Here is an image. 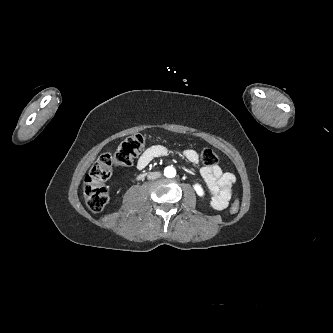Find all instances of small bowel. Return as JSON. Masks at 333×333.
Instances as JSON below:
<instances>
[{"label": "small bowel", "instance_id": "obj_1", "mask_svg": "<svg viewBox=\"0 0 333 333\" xmlns=\"http://www.w3.org/2000/svg\"><path fill=\"white\" fill-rule=\"evenodd\" d=\"M169 152V148L164 145H154L145 150L139 157L137 168L145 169L152 160L165 156ZM182 155L192 164H198L199 162L198 154L193 149L183 150ZM200 173L211 193V206L216 210L225 209L231 199L232 187L236 181L235 175L231 172H223L217 165L204 166Z\"/></svg>", "mask_w": 333, "mask_h": 333}]
</instances>
